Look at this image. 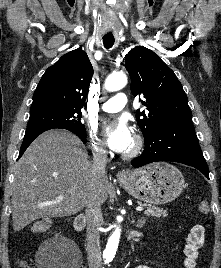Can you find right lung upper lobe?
Returning <instances> with one entry per match:
<instances>
[{"label": "right lung upper lobe", "mask_w": 221, "mask_h": 268, "mask_svg": "<svg viewBox=\"0 0 221 268\" xmlns=\"http://www.w3.org/2000/svg\"><path fill=\"white\" fill-rule=\"evenodd\" d=\"M93 76L85 51L63 55L42 76L33 95L30 114L49 111H81Z\"/></svg>", "instance_id": "right-lung-upper-lobe-1"}]
</instances>
